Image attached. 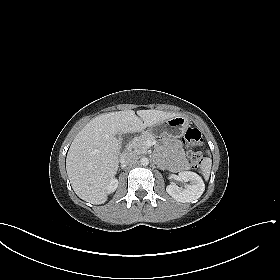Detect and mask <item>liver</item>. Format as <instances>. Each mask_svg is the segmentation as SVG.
<instances>
[{
	"instance_id": "obj_1",
	"label": "liver",
	"mask_w": 280,
	"mask_h": 280,
	"mask_svg": "<svg viewBox=\"0 0 280 280\" xmlns=\"http://www.w3.org/2000/svg\"><path fill=\"white\" fill-rule=\"evenodd\" d=\"M179 116L159 110H124L92 119L75 136L66 158L71 186L82 200L99 205L107 201V185L119 165L117 134L135 133Z\"/></svg>"
}]
</instances>
